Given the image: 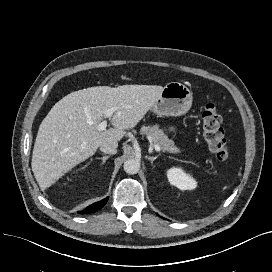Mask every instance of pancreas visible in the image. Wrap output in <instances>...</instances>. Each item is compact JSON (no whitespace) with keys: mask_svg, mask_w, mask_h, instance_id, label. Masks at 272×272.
<instances>
[{"mask_svg":"<svg viewBox=\"0 0 272 272\" xmlns=\"http://www.w3.org/2000/svg\"><path fill=\"white\" fill-rule=\"evenodd\" d=\"M140 134L151 137L154 144H158L163 151H167L169 153L179 152V149L175 146L174 141L170 140L158 125L142 126L140 129Z\"/></svg>","mask_w":272,"mask_h":272,"instance_id":"cf45deb5","label":"pancreas"}]
</instances>
